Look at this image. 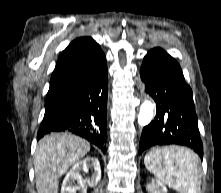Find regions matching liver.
I'll return each instance as SVG.
<instances>
[{"mask_svg":"<svg viewBox=\"0 0 221 193\" xmlns=\"http://www.w3.org/2000/svg\"><path fill=\"white\" fill-rule=\"evenodd\" d=\"M90 150V144L75 135L54 133L37 145L34 169L37 193H58L59 178Z\"/></svg>","mask_w":221,"mask_h":193,"instance_id":"6515ba94","label":"liver"}]
</instances>
